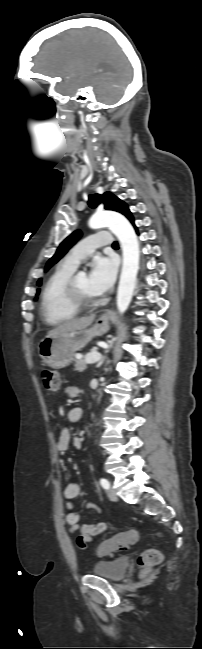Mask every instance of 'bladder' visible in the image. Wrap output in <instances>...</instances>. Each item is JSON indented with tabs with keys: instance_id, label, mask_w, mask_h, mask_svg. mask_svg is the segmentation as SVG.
Here are the masks:
<instances>
[{
	"instance_id": "1",
	"label": "bladder",
	"mask_w": 202,
	"mask_h": 649,
	"mask_svg": "<svg viewBox=\"0 0 202 649\" xmlns=\"http://www.w3.org/2000/svg\"><path fill=\"white\" fill-rule=\"evenodd\" d=\"M128 567L129 561L124 557L99 561L93 566L92 574L110 581H119L126 574Z\"/></svg>"
}]
</instances>
